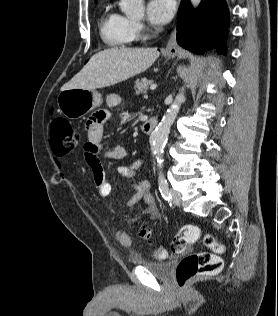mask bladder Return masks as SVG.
<instances>
[{"instance_id":"31cf9c89","label":"bladder","mask_w":278,"mask_h":316,"mask_svg":"<svg viewBox=\"0 0 278 316\" xmlns=\"http://www.w3.org/2000/svg\"><path fill=\"white\" fill-rule=\"evenodd\" d=\"M132 263L145 268L154 276L163 279L169 278L174 269V263L172 261L160 262L142 258H132Z\"/></svg>"}]
</instances>
